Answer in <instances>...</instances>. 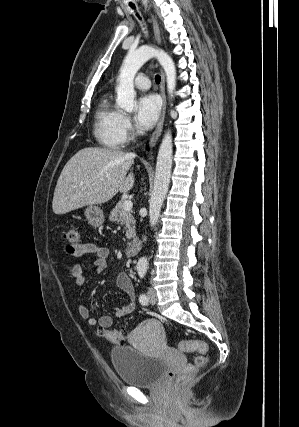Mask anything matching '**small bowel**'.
<instances>
[{
    "instance_id": "small-bowel-1",
    "label": "small bowel",
    "mask_w": 299,
    "mask_h": 427,
    "mask_svg": "<svg viewBox=\"0 0 299 427\" xmlns=\"http://www.w3.org/2000/svg\"><path fill=\"white\" fill-rule=\"evenodd\" d=\"M66 253L70 257H81L89 254L94 257L93 266L96 273H102L107 268V259L109 256V250L96 243H79L77 245H69L66 247ZM64 269L66 273L73 277L76 285L83 286L85 284V278L82 273L81 267L71 261L64 263ZM116 284L120 287L129 297V301L123 306L117 307L113 313V316L104 315L98 319L91 315L90 309L87 305L81 304L78 307V312L81 318L87 321L91 326L98 325L100 328H109L112 325L113 319H121L131 314L135 309V290L133 283L126 273H119L116 277Z\"/></svg>"
}]
</instances>
